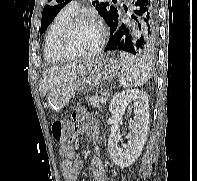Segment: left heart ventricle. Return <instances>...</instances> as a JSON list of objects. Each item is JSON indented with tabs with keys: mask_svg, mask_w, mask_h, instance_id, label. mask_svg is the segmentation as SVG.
Masks as SVG:
<instances>
[{
	"mask_svg": "<svg viewBox=\"0 0 197 181\" xmlns=\"http://www.w3.org/2000/svg\"><path fill=\"white\" fill-rule=\"evenodd\" d=\"M98 29L93 23H80L68 34L64 46L70 54H80L91 51L98 41Z\"/></svg>",
	"mask_w": 197,
	"mask_h": 181,
	"instance_id": "1",
	"label": "left heart ventricle"
}]
</instances>
